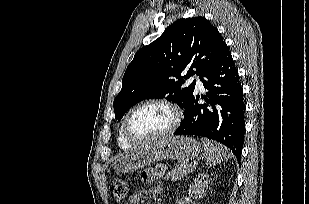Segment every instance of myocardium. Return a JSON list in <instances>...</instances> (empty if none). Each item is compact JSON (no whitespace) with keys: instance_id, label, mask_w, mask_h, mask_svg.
Returning <instances> with one entry per match:
<instances>
[{"instance_id":"obj_1","label":"myocardium","mask_w":309,"mask_h":204,"mask_svg":"<svg viewBox=\"0 0 309 204\" xmlns=\"http://www.w3.org/2000/svg\"><path fill=\"white\" fill-rule=\"evenodd\" d=\"M150 104H158V105L167 107L172 113V122L166 130H164L163 132L157 135H154L151 137H145V138L135 137L129 132V128H128L129 120L135 111H137L139 108L143 106L150 105ZM181 120H182V112L180 108L173 102L167 99H163V98L147 99V100H143L139 102L138 104H136L134 107H132L129 110L122 124V132H123L124 138L132 145L146 144V143L160 140L162 138H165L173 134L180 126Z\"/></svg>"}]
</instances>
